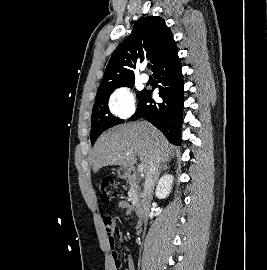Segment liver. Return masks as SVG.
Wrapping results in <instances>:
<instances>
[{"mask_svg": "<svg viewBox=\"0 0 267 270\" xmlns=\"http://www.w3.org/2000/svg\"><path fill=\"white\" fill-rule=\"evenodd\" d=\"M174 150L176 148L165 136L146 122L121 124L108 130L96 141L92 159L93 172L109 165L130 168L135 164L136 156L147 171L155 153L160 162H165Z\"/></svg>", "mask_w": 267, "mask_h": 270, "instance_id": "6515ba94", "label": "liver"}]
</instances>
